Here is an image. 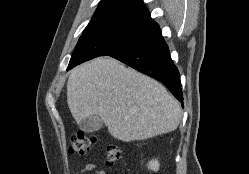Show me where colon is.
<instances>
[{
    "instance_id": "5ec220e1",
    "label": "colon",
    "mask_w": 249,
    "mask_h": 174,
    "mask_svg": "<svg viewBox=\"0 0 249 174\" xmlns=\"http://www.w3.org/2000/svg\"><path fill=\"white\" fill-rule=\"evenodd\" d=\"M96 143V137L80 132L71 139L69 153L73 155H83L89 151ZM122 158V149L117 145H109L105 150V162L107 165H114Z\"/></svg>"
}]
</instances>
